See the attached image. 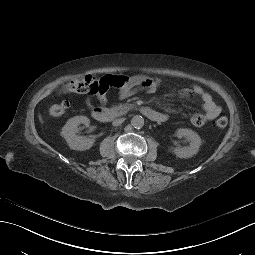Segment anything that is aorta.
<instances>
[{
  "instance_id": "obj_1",
  "label": "aorta",
  "mask_w": 255,
  "mask_h": 255,
  "mask_svg": "<svg viewBox=\"0 0 255 255\" xmlns=\"http://www.w3.org/2000/svg\"><path fill=\"white\" fill-rule=\"evenodd\" d=\"M131 124L136 129H141L144 126V119L140 115H135L131 119Z\"/></svg>"
}]
</instances>
